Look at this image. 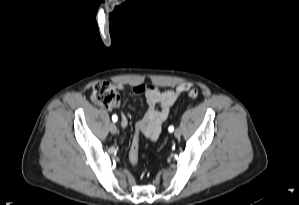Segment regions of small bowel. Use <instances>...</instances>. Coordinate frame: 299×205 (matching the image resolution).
I'll use <instances>...</instances> for the list:
<instances>
[{
	"label": "small bowel",
	"instance_id": "c3829d8e",
	"mask_svg": "<svg viewBox=\"0 0 299 205\" xmlns=\"http://www.w3.org/2000/svg\"><path fill=\"white\" fill-rule=\"evenodd\" d=\"M117 88H122V85H116ZM192 85L184 82L180 83L168 90L161 91L153 84L143 83L133 86V92L136 94L144 93L148 103V110L144 117L137 122L136 128L138 133H141L148 140H156L162 130V126L167 120L171 108L176 100ZM120 124L122 128L128 126V118L120 113ZM134 138H139L138 134Z\"/></svg>",
	"mask_w": 299,
	"mask_h": 205
}]
</instances>
